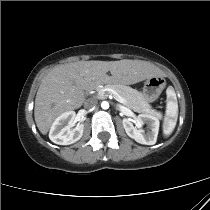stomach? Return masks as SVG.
Wrapping results in <instances>:
<instances>
[{
  "label": "stomach",
  "mask_w": 210,
  "mask_h": 210,
  "mask_svg": "<svg viewBox=\"0 0 210 210\" xmlns=\"http://www.w3.org/2000/svg\"><path fill=\"white\" fill-rule=\"evenodd\" d=\"M166 86V81L161 76L146 79L143 87V95L147 102L155 101Z\"/></svg>",
  "instance_id": "obj_1"
}]
</instances>
